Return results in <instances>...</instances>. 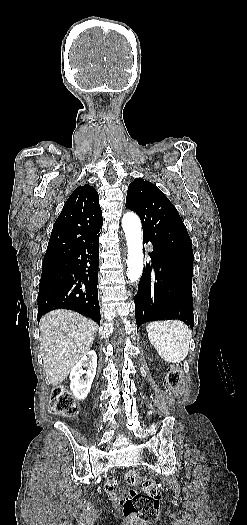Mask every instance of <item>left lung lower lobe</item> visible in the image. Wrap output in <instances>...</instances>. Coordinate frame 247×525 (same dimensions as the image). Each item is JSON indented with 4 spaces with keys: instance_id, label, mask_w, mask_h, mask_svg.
I'll return each instance as SVG.
<instances>
[{
    "instance_id": "1",
    "label": "left lung lower lobe",
    "mask_w": 247,
    "mask_h": 525,
    "mask_svg": "<svg viewBox=\"0 0 247 525\" xmlns=\"http://www.w3.org/2000/svg\"><path fill=\"white\" fill-rule=\"evenodd\" d=\"M149 241L153 244L152 265L146 264L134 297L137 326L178 319L193 328V263L172 252L161 240L143 234V242Z\"/></svg>"
}]
</instances>
